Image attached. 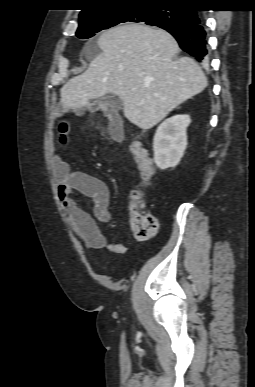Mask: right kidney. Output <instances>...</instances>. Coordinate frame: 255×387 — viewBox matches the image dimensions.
Masks as SVG:
<instances>
[{"mask_svg":"<svg viewBox=\"0 0 255 387\" xmlns=\"http://www.w3.org/2000/svg\"><path fill=\"white\" fill-rule=\"evenodd\" d=\"M191 122L189 115H175L162 122L153 139L154 161L165 170L175 167L187 147L186 130Z\"/></svg>","mask_w":255,"mask_h":387,"instance_id":"obj_1","label":"right kidney"}]
</instances>
